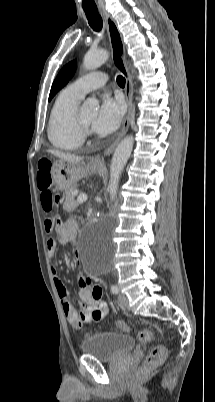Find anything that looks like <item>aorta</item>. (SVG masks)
Returning a JSON list of instances; mask_svg holds the SVG:
<instances>
[{"label": "aorta", "instance_id": "762f6f07", "mask_svg": "<svg viewBox=\"0 0 215 402\" xmlns=\"http://www.w3.org/2000/svg\"><path fill=\"white\" fill-rule=\"evenodd\" d=\"M109 58L108 51L101 49L95 52H88L84 56L83 66L87 70H94L104 64ZM98 101L96 99L90 98L86 101L87 106H96ZM134 139L132 135L124 137L120 143L117 145L114 154L112 156L110 165V180L108 185V192L110 194V199L114 200L117 194L120 177L122 175L123 169L130 157L131 151L133 149ZM100 253L96 256L86 257L85 265L89 268H99L100 267Z\"/></svg>", "mask_w": 215, "mask_h": 402}]
</instances>
